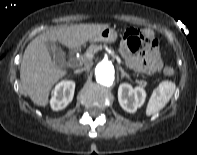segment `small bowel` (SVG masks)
<instances>
[{"label":"small bowel","instance_id":"small-bowel-1","mask_svg":"<svg viewBox=\"0 0 197 155\" xmlns=\"http://www.w3.org/2000/svg\"><path fill=\"white\" fill-rule=\"evenodd\" d=\"M145 34L151 35L148 31ZM121 54L126 65L137 73L151 74L160 71L162 68V60L158 53L157 45L149 46L146 52L135 55L129 49L124 37L121 44Z\"/></svg>","mask_w":197,"mask_h":155}]
</instances>
